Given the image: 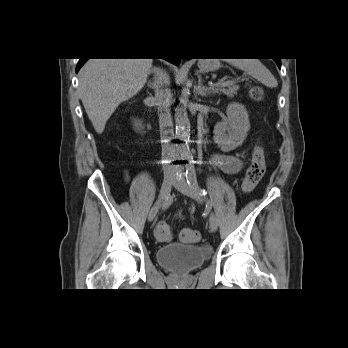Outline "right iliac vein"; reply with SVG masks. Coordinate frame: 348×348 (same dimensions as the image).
Wrapping results in <instances>:
<instances>
[{
    "label": "right iliac vein",
    "instance_id": "obj_1",
    "mask_svg": "<svg viewBox=\"0 0 348 348\" xmlns=\"http://www.w3.org/2000/svg\"><path fill=\"white\" fill-rule=\"evenodd\" d=\"M174 181H175V178L172 176L164 177V180L160 189L159 200L154 204V206L149 211L148 221H152L155 218L159 208L161 207L163 200L166 199L167 196L169 195Z\"/></svg>",
    "mask_w": 348,
    "mask_h": 348
}]
</instances>
